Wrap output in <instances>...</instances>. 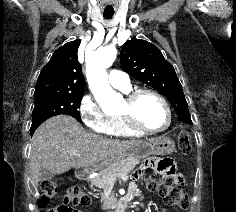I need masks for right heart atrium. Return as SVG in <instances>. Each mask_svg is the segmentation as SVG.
I'll use <instances>...</instances> for the list:
<instances>
[{
    "instance_id": "right-heart-atrium-1",
    "label": "right heart atrium",
    "mask_w": 236,
    "mask_h": 212,
    "mask_svg": "<svg viewBox=\"0 0 236 212\" xmlns=\"http://www.w3.org/2000/svg\"><path fill=\"white\" fill-rule=\"evenodd\" d=\"M82 121L92 130L105 133L108 116L101 110L96 100L89 94L84 95L79 104Z\"/></svg>"
}]
</instances>
